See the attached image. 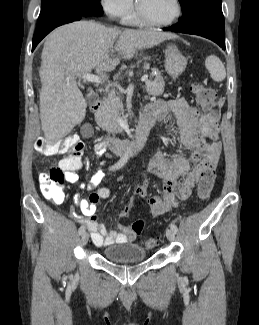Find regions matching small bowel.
Returning <instances> with one entry per match:
<instances>
[{
	"mask_svg": "<svg viewBox=\"0 0 259 325\" xmlns=\"http://www.w3.org/2000/svg\"><path fill=\"white\" fill-rule=\"evenodd\" d=\"M145 114H149L154 122L173 114L177 120L181 144L188 151L186 156L157 152L152 157L149 171L161 181V196L151 195L148 192L151 180L147 177L140 178L133 183L134 194L146 200L154 216H160L178 206L180 200L188 199L202 174L215 169L220 156L221 144L216 140L217 128H208L209 117L201 114L184 98L158 100L146 108ZM94 150L96 155L101 157L106 152V144L97 142ZM68 159L70 158H63L59 165H64ZM83 166L88 167L89 162L83 163L79 157L75 160L73 167H65V180L68 183H78L81 189L93 191L88 199L82 198L79 194L73 197L75 205L82 212L78 221L87 225L92 241L98 247L133 242L136 239V233L131 227L119 224L118 231L108 230L103 223L98 221L96 204L100 200L109 198L111 191L107 187L98 188L105 177L102 169L95 171L88 182H80L78 172ZM180 181H182L181 184Z\"/></svg>",
	"mask_w": 259,
	"mask_h": 325,
	"instance_id": "small-bowel-1",
	"label": "small bowel"
}]
</instances>
